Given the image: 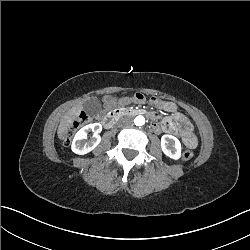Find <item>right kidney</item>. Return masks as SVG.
Segmentation results:
<instances>
[{
	"label": "right kidney",
	"mask_w": 250,
	"mask_h": 250,
	"mask_svg": "<svg viewBox=\"0 0 250 250\" xmlns=\"http://www.w3.org/2000/svg\"><path fill=\"white\" fill-rule=\"evenodd\" d=\"M102 130V126L100 123H93L88 124L81 128L76 135L74 136V139L72 141L71 149L74 153L79 155H84L90 151H92L100 142H101V136L99 133ZM89 131H93L92 138L84 142L85 139H87V133Z\"/></svg>",
	"instance_id": "1"
}]
</instances>
